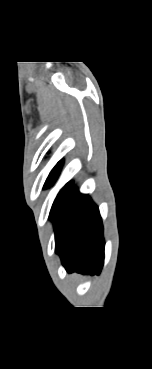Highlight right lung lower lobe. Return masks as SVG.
Wrapping results in <instances>:
<instances>
[{
    "label": "right lung lower lobe",
    "instance_id": "obj_1",
    "mask_svg": "<svg viewBox=\"0 0 152 369\" xmlns=\"http://www.w3.org/2000/svg\"><path fill=\"white\" fill-rule=\"evenodd\" d=\"M54 222L55 250L66 270L99 274L105 243L99 210L90 197L71 187Z\"/></svg>",
    "mask_w": 152,
    "mask_h": 369
}]
</instances>
